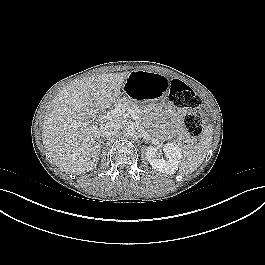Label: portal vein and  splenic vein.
<instances>
[{
	"mask_svg": "<svg viewBox=\"0 0 265 265\" xmlns=\"http://www.w3.org/2000/svg\"><path fill=\"white\" fill-rule=\"evenodd\" d=\"M125 111H127L134 119H137V115H136L134 110H132L129 107L125 108L122 105H119V106L115 107L111 112H108L107 114L100 116L98 119H96V121L99 123H103L106 120H112L113 118H118ZM97 122H95V123L97 124ZM72 125L74 127H80L82 125H86V123L73 121Z\"/></svg>",
	"mask_w": 265,
	"mask_h": 265,
	"instance_id": "obj_1",
	"label": "portal vein and splenic vein"
}]
</instances>
